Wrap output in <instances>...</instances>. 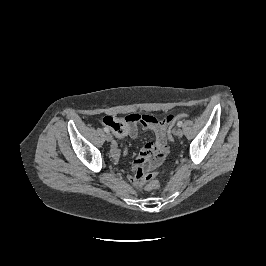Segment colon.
<instances>
[{
  "mask_svg": "<svg viewBox=\"0 0 266 266\" xmlns=\"http://www.w3.org/2000/svg\"><path fill=\"white\" fill-rule=\"evenodd\" d=\"M187 114H179L178 116H176V119H181V118H186ZM174 124V123H173ZM172 124V125H173ZM172 125L169 127L167 134H168V138L173 141V128ZM156 173H148L144 176L141 177V181H140V185L143 189H145L146 191H153V190H157L160 187V183L156 180Z\"/></svg>",
  "mask_w": 266,
  "mask_h": 266,
  "instance_id": "colon-1",
  "label": "colon"
}]
</instances>
